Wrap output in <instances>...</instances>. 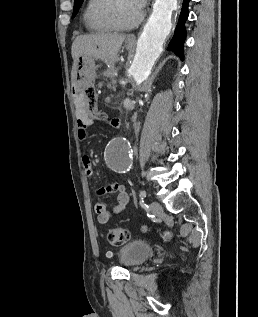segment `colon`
Instances as JSON below:
<instances>
[{
  "label": "colon",
  "mask_w": 258,
  "mask_h": 317,
  "mask_svg": "<svg viewBox=\"0 0 258 317\" xmlns=\"http://www.w3.org/2000/svg\"><path fill=\"white\" fill-rule=\"evenodd\" d=\"M83 99L84 108L90 116L98 120H102L105 118V115L98 110L97 93L94 85H89L88 87H86L83 94ZM164 237L169 238L170 234L165 233ZM107 239L112 245H122L130 239V233L123 228L115 227L108 231Z\"/></svg>",
  "instance_id": "1"
}]
</instances>
